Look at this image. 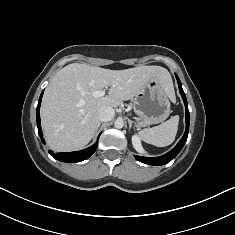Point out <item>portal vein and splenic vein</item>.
<instances>
[{
	"label": "portal vein and splenic vein",
	"mask_w": 235,
	"mask_h": 235,
	"mask_svg": "<svg viewBox=\"0 0 235 235\" xmlns=\"http://www.w3.org/2000/svg\"><path fill=\"white\" fill-rule=\"evenodd\" d=\"M105 90H98V91H95L93 94L95 97H102L105 95Z\"/></svg>",
	"instance_id": "1"
}]
</instances>
